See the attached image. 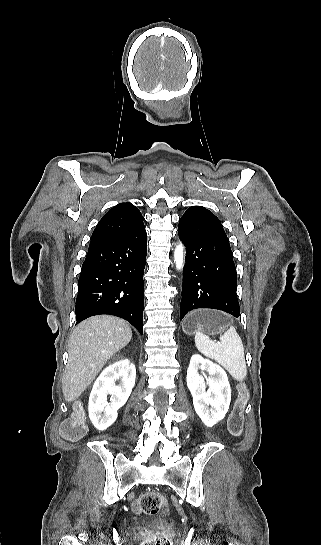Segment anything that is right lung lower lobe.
Returning a JSON list of instances; mask_svg holds the SVG:
<instances>
[{
	"label": "right lung lower lobe",
	"instance_id": "98d812e1",
	"mask_svg": "<svg viewBox=\"0 0 321 545\" xmlns=\"http://www.w3.org/2000/svg\"><path fill=\"white\" fill-rule=\"evenodd\" d=\"M146 255L144 226L90 246L79 277L76 324L90 316L110 314L129 321L143 334Z\"/></svg>",
	"mask_w": 321,
	"mask_h": 545
}]
</instances>
